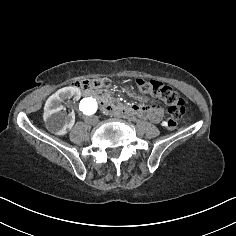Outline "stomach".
<instances>
[{
	"instance_id": "obj_1",
	"label": "stomach",
	"mask_w": 236,
	"mask_h": 236,
	"mask_svg": "<svg viewBox=\"0 0 236 236\" xmlns=\"http://www.w3.org/2000/svg\"><path fill=\"white\" fill-rule=\"evenodd\" d=\"M122 88L126 91V94L131 97L132 99H135L136 101H141L143 104H146L149 101V98L146 95H141L139 92H136L131 88V85L128 82H125L122 85Z\"/></svg>"
}]
</instances>
